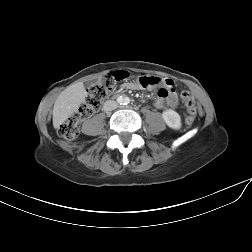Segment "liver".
<instances>
[{
  "label": "liver",
  "mask_w": 252,
  "mask_h": 252,
  "mask_svg": "<svg viewBox=\"0 0 252 252\" xmlns=\"http://www.w3.org/2000/svg\"><path fill=\"white\" fill-rule=\"evenodd\" d=\"M87 92L82 82L70 85L55 101L53 107V126L58 128L85 102Z\"/></svg>",
  "instance_id": "6515ba94"
}]
</instances>
